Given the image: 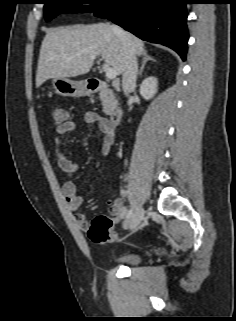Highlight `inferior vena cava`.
<instances>
[{
	"label": "inferior vena cava",
	"mask_w": 236,
	"mask_h": 321,
	"mask_svg": "<svg viewBox=\"0 0 236 321\" xmlns=\"http://www.w3.org/2000/svg\"><path fill=\"white\" fill-rule=\"evenodd\" d=\"M115 35L120 39L125 53V70L122 77V88L125 95H129L136 86L138 63L135 48L125 31L117 25L111 26Z\"/></svg>",
	"instance_id": "602c4592"
}]
</instances>
